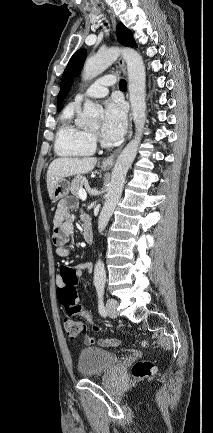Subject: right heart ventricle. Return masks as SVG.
<instances>
[{
  "instance_id": "e07e8e85",
  "label": "right heart ventricle",
  "mask_w": 213,
  "mask_h": 433,
  "mask_svg": "<svg viewBox=\"0 0 213 433\" xmlns=\"http://www.w3.org/2000/svg\"><path fill=\"white\" fill-rule=\"evenodd\" d=\"M78 109L77 104L71 103L63 111L55 140V151L60 156L82 157L95 152L96 145L90 132L75 122Z\"/></svg>"
}]
</instances>
